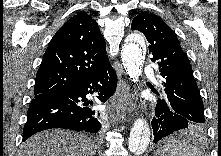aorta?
<instances>
[{"instance_id": "aorta-1", "label": "aorta", "mask_w": 221, "mask_h": 156, "mask_svg": "<svg viewBox=\"0 0 221 156\" xmlns=\"http://www.w3.org/2000/svg\"><path fill=\"white\" fill-rule=\"evenodd\" d=\"M144 39L139 34L128 36L122 47L121 58L126 73L133 82L138 81L141 75L142 61L144 56ZM150 128L143 118H138L131 128L128 138V149L132 153L144 152L150 143Z\"/></svg>"}]
</instances>
